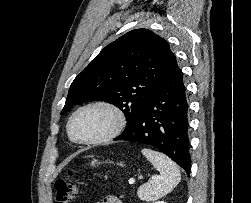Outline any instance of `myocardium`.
<instances>
[{
    "mask_svg": "<svg viewBox=\"0 0 251 203\" xmlns=\"http://www.w3.org/2000/svg\"><path fill=\"white\" fill-rule=\"evenodd\" d=\"M92 108H100L109 112L111 116L113 117V123L111 127L105 133H103L102 135L98 137H95L92 139H86V140L79 139L74 135L73 130H72L73 120L80 112L88 110V109H92ZM126 121L127 120H126L125 113L120 107L108 101L96 100V101L88 102L78 107L71 114L67 123V132L70 139L77 144H81V145L100 144V143L110 141L116 138L117 136H119L126 126Z\"/></svg>",
    "mask_w": 251,
    "mask_h": 203,
    "instance_id": "myocardium-1",
    "label": "myocardium"
}]
</instances>
